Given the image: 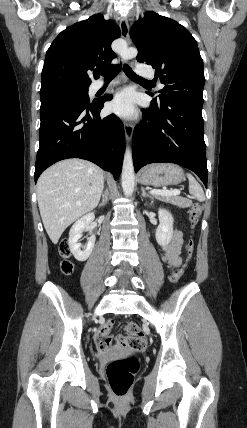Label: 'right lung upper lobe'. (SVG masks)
Returning a JSON list of instances; mask_svg holds the SVG:
<instances>
[{"label":"right lung upper lobe","instance_id":"cb5924a9","mask_svg":"<svg viewBox=\"0 0 247 428\" xmlns=\"http://www.w3.org/2000/svg\"><path fill=\"white\" fill-rule=\"evenodd\" d=\"M119 36V27L101 14L66 28L46 52L40 93L64 87H89L88 71L113 66L111 61L116 54L111 43ZM94 77L99 75L94 73Z\"/></svg>","mask_w":247,"mask_h":428}]
</instances>
